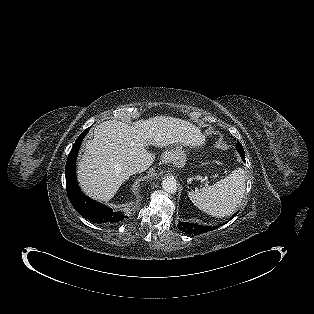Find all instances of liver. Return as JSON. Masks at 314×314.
<instances>
[{"mask_svg":"<svg viewBox=\"0 0 314 314\" xmlns=\"http://www.w3.org/2000/svg\"><path fill=\"white\" fill-rule=\"evenodd\" d=\"M93 135L84 145L78 181L86 194L99 201H109L129 179L130 164H140L144 171L152 165L155 157L147 146H196L203 139L190 122L168 116L139 120L133 125L105 121L96 126Z\"/></svg>","mask_w":314,"mask_h":314,"instance_id":"liver-1","label":"liver"}]
</instances>
